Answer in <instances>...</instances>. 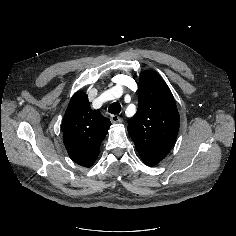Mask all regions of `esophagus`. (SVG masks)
<instances>
[{"label": "esophagus", "mask_w": 236, "mask_h": 236, "mask_svg": "<svg viewBox=\"0 0 236 236\" xmlns=\"http://www.w3.org/2000/svg\"><path fill=\"white\" fill-rule=\"evenodd\" d=\"M110 120L114 124L120 123L122 121L121 118L117 115H111Z\"/></svg>", "instance_id": "1"}]
</instances>
